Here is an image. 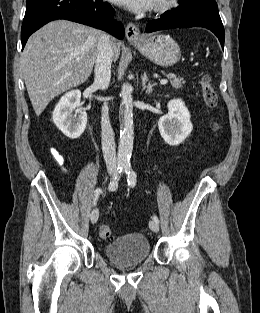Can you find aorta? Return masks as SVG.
I'll return each instance as SVG.
<instances>
[{"label": "aorta", "mask_w": 260, "mask_h": 313, "mask_svg": "<svg viewBox=\"0 0 260 313\" xmlns=\"http://www.w3.org/2000/svg\"><path fill=\"white\" fill-rule=\"evenodd\" d=\"M132 87L125 83L122 86L120 97L122 100L119 112L121 123L120 141L118 147V162L120 164H128L133 151V96Z\"/></svg>", "instance_id": "obj_1"}]
</instances>
